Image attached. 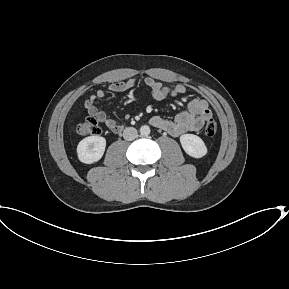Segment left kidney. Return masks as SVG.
<instances>
[{"mask_svg": "<svg viewBox=\"0 0 289 289\" xmlns=\"http://www.w3.org/2000/svg\"><path fill=\"white\" fill-rule=\"evenodd\" d=\"M180 143L184 151L191 157L201 158L207 154V147L203 140L194 134L180 136Z\"/></svg>", "mask_w": 289, "mask_h": 289, "instance_id": "left-kidney-1", "label": "left kidney"}]
</instances>
